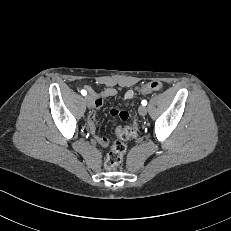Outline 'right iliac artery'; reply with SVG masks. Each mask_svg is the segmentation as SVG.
I'll return each mask as SVG.
<instances>
[{
    "label": "right iliac artery",
    "mask_w": 231,
    "mask_h": 231,
    "mask_svg": "<svg viewBox=\"0 0 231 231\" xmlns=\"http://www.w3.org/2000/svg\"><path fill=\"white\" fill-rule=\"evenodd\" d=\"M81 94L85 96L87 94L86 90H81Z\"/></svg>",
    "instance_id": "obj_1"
}]
</instances>
